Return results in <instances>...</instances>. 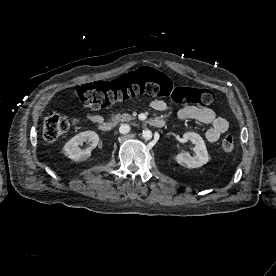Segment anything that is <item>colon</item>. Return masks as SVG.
Instances as JSON below:
<instances>
[{
    "label": "colon",
    "mask_w": 276,
    "mask_h": 276,
    "mask_svg": "<svg viewBox=\"0 0 276 276\" xmlns=\"http://www.w3.org/2000/svg\"><path fill=\"white\" fill-rule=\"evenodd\" d=\"M77 95L84 105L92 109H101L137 97H165L176 104L197 106H208L214 100L210 89L176 86L166 74L147 66L125 74L113 82L84 84L78 88ZM75 124L74 118L50 112L43 121L44 138L49 142L55 141ZM234 148V137L224 136L221 141L222 151L231 153Z\"/></svg>",
    "instance_id": "5ec220e1"
}]
</instances>
